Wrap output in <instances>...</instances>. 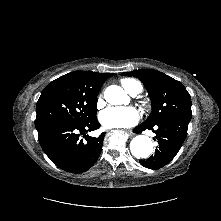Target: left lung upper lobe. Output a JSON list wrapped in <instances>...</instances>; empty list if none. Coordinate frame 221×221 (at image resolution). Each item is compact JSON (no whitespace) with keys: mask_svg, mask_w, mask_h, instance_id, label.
Masks as SVG:
<instances>
[{"mask_svg":"<svg viewBox=\"0 0 221 221\" xmlns=\"http://www.w3.org/2000/svg\"><path fill=\"white\" fill-rule=\"evenodd\" d=\"M121 75L138 78L149 93L152 112L143 125L155 126L168 120H191V97L179 81L154 69H139Z\"/></svg>","mask_w":221,"mask_h":221,"instance_id":"5c2ea615","label":"left lung upper lobe"}]
</instances>
